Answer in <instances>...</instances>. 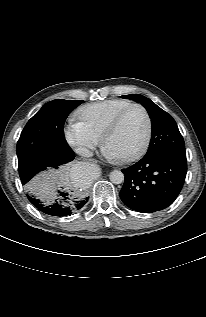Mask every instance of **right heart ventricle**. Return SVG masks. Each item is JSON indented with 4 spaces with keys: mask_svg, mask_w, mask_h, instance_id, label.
Masks as SVG:
<instances>
[{
    "mask_svg": "<svg viewBox=\"0 0 206 317\" xmlns=\"http://www.w3.org/2000/svg\"><path fill=\"white\" fill-rule=\"evenodd\" d=\"M131 104L124 99H108L83 106L77 115L93 134L101 137L113 117Z\"/></svg>",
    "mask_w": 206,
    "mask_h": 317,
    "instance_id": "obj_1",
    "label": "right heart ventricle"
}]
</instances>
